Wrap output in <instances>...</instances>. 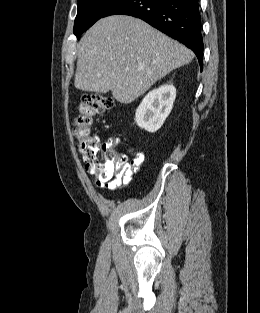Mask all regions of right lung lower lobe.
I'll return each instance as SVG.
<instances>
[{"label": "right lung lower lobe", "instance_id": "1", "mask_svg": "<svg viewBox=\"0 0 260 313\" xmlns=\"http://www.w3.org/2000/svg\"><path fill=\"white\" fill-rule=\"evenodd\" d=\"M123 14L140 18L193 50L200 68L203 38L198 0H118L103 17Z\"/></svg>", "mask_w": 260, "mask_h": 313}]
</instances>
